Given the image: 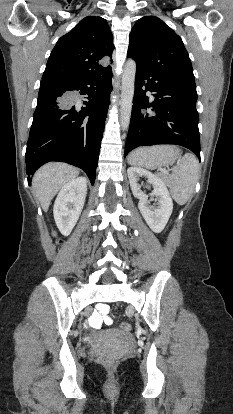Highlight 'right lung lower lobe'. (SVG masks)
I'll return each instance as SVG.
<instances>
[{"mask_svg":"<svg viewBox=\"0 0 233 414\" xmlns=\"http://www.w3.org/2000/svg\"><path fill=\"white\" fill-rule=\"evenodd\" d=\"M111 78L109 70L100 76L40 83L26 149L28 176L46 162L62 161L83 169L94 184ZM78 94L89 96L85 106L77 104Z\"/></svg>","mask_w":233,"mask_h":414,"instance_id":"98d812e1","label":"right lung lower lobe"}]
</instances>
